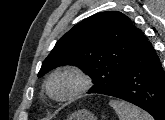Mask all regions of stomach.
Listing matches in <instances>:
<instances>
[{
  "instance_id": "0dacf381",
  "label": "stomach",
  "mask_w": 165,
  "mask_h": 120,
  "mask_svg": "<svg viewBox=\"0 0 165 120\" xmlns=\"http://www.w3.org/2000/svg\"><path fill=\"white\" fill-rule=\"evenodd\" d=\"M67 120H97V118L90 111L81 109L72 113Z\"/></svg>"
}]
</instances>
